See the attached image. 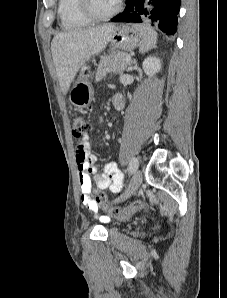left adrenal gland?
<instances>
[{
	"label": "left adrenal gland",
	"instance_id": "1",
	"mask_svg": "<svg viewBox=\"0 0 227 298\" xmlns=\"http://www.w3.org/2000/svg\"><path fill=\"white\" fill-rule=\"evenodd\" d=\"M135 63V60H132L130 63H129V66L131 67V65Z\"/></svg>",
	"mask_w": 227,
	"mask_h": 298
}]
</instances>
